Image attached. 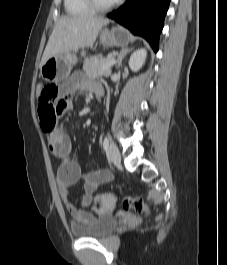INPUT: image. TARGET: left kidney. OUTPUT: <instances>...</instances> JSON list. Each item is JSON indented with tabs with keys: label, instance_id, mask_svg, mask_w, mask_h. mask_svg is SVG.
Wrapping results in <instances>:
<instances>
[{
	"label": "left kidney",
	"instance_id": "obj_1",
	"mask_svg": "<svg viewBox=\"0 0 227 265\" xmlns=\"http://www.w3.org/2000/svg\"><path fill=\"white\" fill-rule=\"evenodd\" d=\"M147 52L141 48L136 50L129 59V67L132 71H139L145 63Z\"/></svg>",
	"mask_w": 227,
	"mask_h": 265
}]
</instances>
